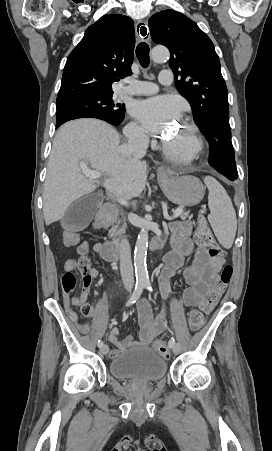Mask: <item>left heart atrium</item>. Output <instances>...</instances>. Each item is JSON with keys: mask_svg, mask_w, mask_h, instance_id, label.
Instances as JSON below:
<instances>
[{"mask_svg": "<svg viewBox=\"0 0 272 451\" xmlns=\"http://www.w3.org/2000/svg\"><path fill=\"white\" fill-rule=\"evenodd\" d=\"M179 113L180 107L168 96L142 102L137 108V115L152 134L167 132Z\"/></svg>", "mask_w": 272, "mask_h": 451, "instance_id": "1", "label": "left heart atrium"}]
</instances>
